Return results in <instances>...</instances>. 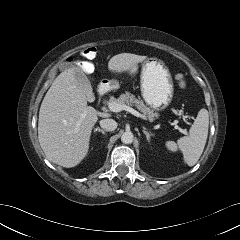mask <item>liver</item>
Segmentation results:
<instances>
[{"mask_svg": "<svg viewBox=\"0 0 240 240\" xmlns=\"http://www.w3.org/2000/svg\"><path fill=\"white\" fill-rule=\"evenodd\" d=\"M146 59L131 53L117 54L109 60L108 69L125 72ZM76 71L83 73L84 67H70L56 77L39 110L40 146L49 161L66 168L77 166L87 155L98 116H109L87 106L86 94L77 85Z\"/></svg>", "mask_w": 240, "mask_h": 240, "instance_id": "obj_1", "label": "liver"}]
</instances>
